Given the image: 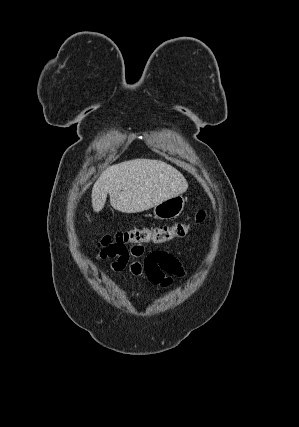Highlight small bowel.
<instances>
[{
    "label": "small bowel",
    "instance_id": "obj_1",
    "mask_svg": "<svg viewBox=\"0 0 299 427\" xmlns=\"http://www.w3.org/2000/svg\"><path fill=\"white\" fill-rule=\"evenodd\" d=\"M143 245H133L126 252L114 256L110 264L113 272L128 270L135 276H145L157 286H168L173 277H182L186 271L183 265L171 253L166 251H155L145 256ZM145 256L144 261L138 259Z\"/></svg>",
    "mask_w": 299,
    "mask_h": 427
}]
</instances>
